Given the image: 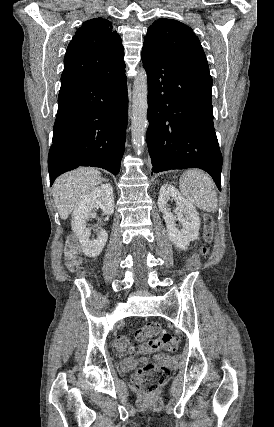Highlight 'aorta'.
<instances>
[{
  "mask_svg": "<svg viewBox=\"0 0 274 427\" xmlns=\"http://www.w3.org/2000/svg\"><path fill=\"white\" fill-rule=\"evenodd\" d=\"M148 111V83L147 73L144 68L138 70L134 79L131 135L132 142L138 154L143 151L145 134L149 126Z\"/></svg>",
  "mask_w": 274,
  "mask_h": 427,
  "instance_id": "aorta-1",
  "label": "aorta"
}]
</instances>
